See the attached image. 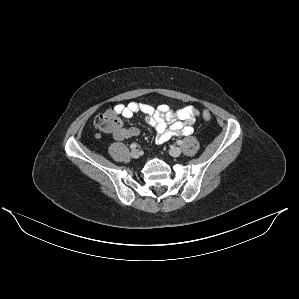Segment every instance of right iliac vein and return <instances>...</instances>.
<instances>
[{"label": "right iliac vein", "mask_w": 299, "mask_h": 299, "mask_svg": "<svg viewBox=\"0 0 299 299\" xmlns=\"http://www.w3.org/2000/svg\"><path fill=\"white\" fill-rule=\"evenodd\" d=\"M131 157L134 158V159H137L140 157V152L139 150L137 149H133L130 153Z\"/></svg>", "instance_id": "63e3f726"}]
</instances>
